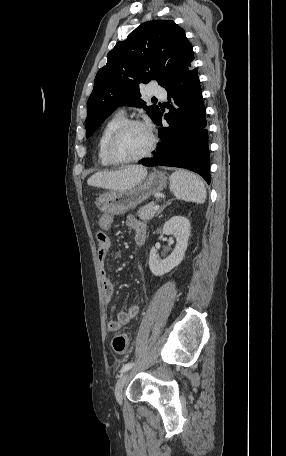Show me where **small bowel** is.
Returning a JSON list of instances; mask_svg holds the SVG:
<instances>
[{
	"mask_svg": "<svg viewBox=\"0 0 286 456\" xmlns=\"http://www.w3.org/2000/svg\"><path fill=\"white\" fill-rule=\"evenodd\" d=\"M126 226L134 231L135 241L141 236H146L145 224L140 221L134 215L127 216L125 220ZM113 224V218L109 214H104L99 219L100 231L97 234L98 241V251L97 256L100 264V274L102 279V292L103 298L106 303L111 302L114 294V283L111 280L107 268L106 262L110 252V239L105 233L109 230ZM121 257L120 251H114L112 258L118 260ZM140 307L138 305H132L125 311H120L117 314V318L111 320L107 324V329L109 332H117L122 327L127 325L132 319H134L139 313Z\"/></svg>",
	"mask_w": 286,
	"mask_h": 456,
	"instance_id": "small-bowel-1",
	"label": "small bowel"
}]
</instances>
